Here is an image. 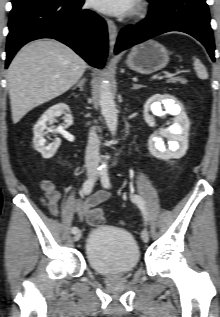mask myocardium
<instances>
[{
	"mask_svg": "<svg viewBox=\"0 0 220 317\" xmlns=\"http://www.w3.org/2000/svg\"><path fill=\"white\" fill-rule=\"evenodd\" d=\"M146 10V7L144 4L140 3L138 4L137 8H136V14L138 15H142Z\"/></svg>",
	"mask_w": 220,
	"mask_h": 317,
	"instance_id": "obj_1",
	"label": "myocardium"
}]
</instances>
